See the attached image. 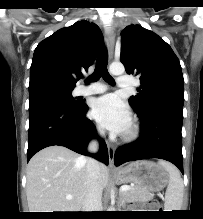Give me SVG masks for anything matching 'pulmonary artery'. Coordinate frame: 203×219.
Listing matches in <instances>:
<instances>
[{"mask_svg": "<svg viewBox=\"0 0 203 219\" xmlns=\"http://www.w3.org/2000/svg\"><path fill=\"white\" fill-rule=\"evenodd\" d=\"M117 85L121 88H128L132 86V78L127 75L118 77ZM107 90V86L101 83H92L88 86H81L78 88L77 93L79 95H92L103 93Z\"/></svg>", "mask_w": 203, "mask_h": 219, "instance_id": "obj_1", "label": "pulmonary artery"}]
</instances>
